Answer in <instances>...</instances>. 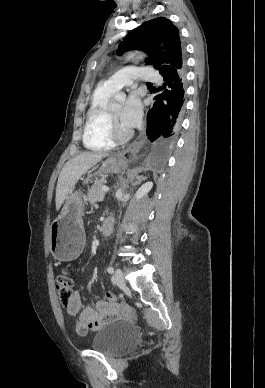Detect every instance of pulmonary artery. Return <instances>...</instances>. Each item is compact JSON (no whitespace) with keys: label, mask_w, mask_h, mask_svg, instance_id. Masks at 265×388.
Segmentation results:
<instances>
[{"label":"pulmonary artery","mask_w":265,"mask_h":388,"mask_svg":"<svg viewBox=\"0 0 265 388\" xmlns=\"http://www.w3.org/2000/svg\"><path fill=\"white\" fill-rule=\"evenodd\" d=\"M153 64H129L127 69L121 70V75H110L104 79L103 84L107 90H119L121 86H130L139 80L138 76H146V82H160V72H153Z\"/></svg>","instance_id":"obj_1"}]
</instances>
